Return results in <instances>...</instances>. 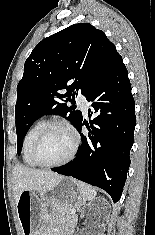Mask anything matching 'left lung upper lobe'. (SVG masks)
<instances>
[{"instance_id":"left-lung-upper-lobe-1","label":"left lung upper lobe","mask_w":155,"mask_h":235,"mask_svg":"<svg viewBox=\"0 0 155 235\" xmlns=\"http://www.w3.org/2000/svg\"><path fill=\"white\" fill-rule=\"evenodd\" d=\"M119 57L105 33L88 23L73 24L38 43L17 86V152L31 125L44 115H61L76 127L82 114L66 102L73 103L77 91L87 97Z\"/></svg>"}]
</instances>
